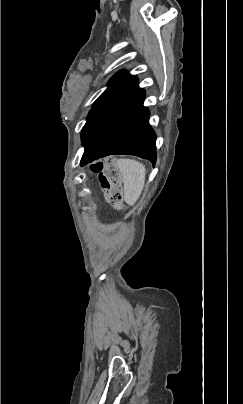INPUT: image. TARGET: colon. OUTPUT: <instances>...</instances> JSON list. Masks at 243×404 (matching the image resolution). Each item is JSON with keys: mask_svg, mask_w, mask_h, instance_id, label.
<instances>
[{"mask_svg": "<svg viewBox=\"0 0 243 404\" xmlns=\"http://www.w3.org/2000/svg\"><path fill=\"white\" fill-rule=\"evenodd\" d=\"M92 171L99 174L106 199L114 206H120L122 203V178L118 166L113 161L106 165L99 163L92 166Z\"/></svg>", "mask_w": 243, "mask_h": 404, "instance_id": "colon-1", "label": "colon"}]
</instances>
